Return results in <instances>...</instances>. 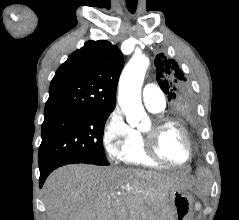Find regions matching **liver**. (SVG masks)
<instances>
[{"mask_svg":"<svg viewBox=\"0 0 239 220\" xmlns=\"http://www.w3.org/2000/svg\"><path fill=\"white\" fill-rule=\"evenodd\" d=\"M180 177L141 169L73 164L52 172L43 187L48 220H164Z\"/></svg>","mask_w":239,"mask_h":220,"instance_id":"obj_1","label":"liver"}]
</instances>
